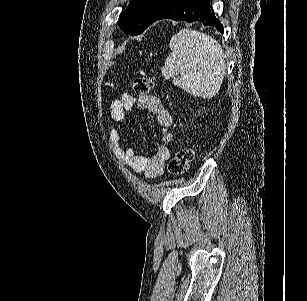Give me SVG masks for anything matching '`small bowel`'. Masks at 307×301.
Segmentation results:
<instances>
[{
    "label": "small bowel",
    "instance_id": "small-bowel-1",
    "mask_svg": "<svg viewBox=\"0 0 307 301\" xmlns=\"http://www.w3.org/2000/svg\"><path fill=\"white\" fill-rule=\"evenodd\" d=\"M135 106L153 113L158 124L160 144L156 153L150 157L137 154L131 147L121 143V135L117 129L109 130L108 138L112 152L116 158L134 172L143 173L147 178H156L165 171V163L170 156V147L173 142L171 132L172 117L164 108L159 98L152 95H143L138 98L125 93L114 100L110 106V116L117 123H124L126 112Z\"/></svg>",
    "mask_w": 307,
    "mask_h": 301
}]
</instances>
